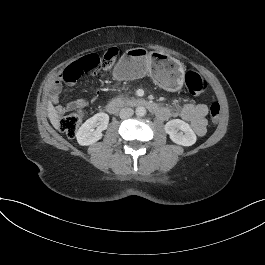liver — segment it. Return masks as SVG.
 <instances>
[{
    "label": "liver",
    "mask_w": 265,
    "mask_h": 265,
    "mask_svg": "<svg viewBox=\"0 0 265 265\" xmlns=\"http://www.w3.org/2000/svg\"><path fill=\"white\" fill-rule=\"evenodd\" d=\"M47 111L48 117L53 127L57 130H60L59 116L51 101L48 102Z\"/></svg>",
    "instance_id": "liver-1"
}]
</instances>
